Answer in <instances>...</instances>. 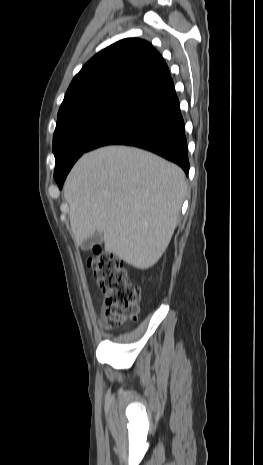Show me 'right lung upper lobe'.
I'll use <instances>...</instances> for the list:
<instances>
[{"label": "right lung upper lobe", "mask_w": 263, "mask_h": 465, "mask_svg": "<svg viewBox=\"0 0 263 465\" xmlns=\"http://www.w3.org/2000/svg\"><path fill=\"white\" fill-rule=\"evenodd\" d=\"M170 78L158 51L138 38L120 40L90 59L72 80L58 115L92 99L137 98Z\"/></svg>", "instance_id": "right-lung-upper-lobe-1"}]
</instances>
